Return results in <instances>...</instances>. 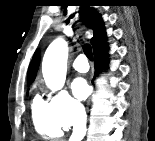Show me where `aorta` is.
<instances>
[{"label":"aorta","mask_w":155,"mask_h":141,"mask_svg":"<svg viewBox=\"0 0 155 141\" xmlns=\"http://www.w3.org/2000/svg\"><path fill=\"white\" fill-rule=\"evenodd\" d=\"M68 44L62 38L55 39L47 48L42 62V73L47 87L61 89L66 80Z\"/></svg>","instance_id":"1"}]
</instances>
